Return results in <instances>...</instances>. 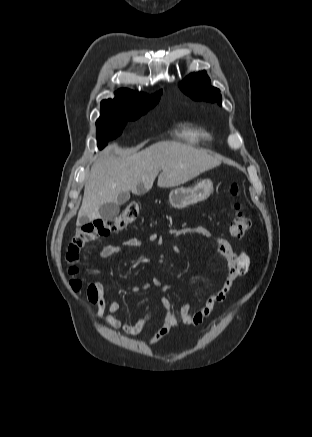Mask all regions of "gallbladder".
I'll list each match as a JSON object with an SVG mask.
<instances>
[{"mask_svg": "<svg viewBox=\"0 0 312 437\" xmlns=\"http://www.w3.org/2000/svg\"><path fill=\"white\" fill-rule=\"evenodd\" d=\"M129 199H130V193L129 191H125V192H121L118 195L116 202H110L101 205L99 208L100 218L102 220H110L116 217L120 211L119 206L126 203ZM80 222L84 224L85 222H87V220L85 218H82Z\"/></svg>", "mask_w": 312, "mask_h": 437, "instance_id": "1", "label": "gallbladder"}]
</instances>
